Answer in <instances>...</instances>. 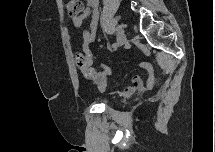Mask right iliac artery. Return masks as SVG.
Returning a JSON list of instances; mask_svg holds the SVG:
<instances>
[{
	"label": "right iliac artery",
	"instance_id": "82829eb1",
	"mask_svg": "<svg viewBox=\"0 0 215 152\" xmlns=\"http://www.w3.org/2000/svg\"><path fill=\"white\" fill-rule=\"evenodd\" d=\"M117 46H118L117 42L112 45L113 48H117Z\"/></svg>",
	"mask_w": 215,
	"mask_h": 152
}]
</instances>
